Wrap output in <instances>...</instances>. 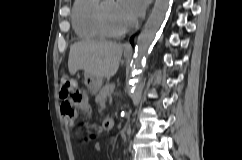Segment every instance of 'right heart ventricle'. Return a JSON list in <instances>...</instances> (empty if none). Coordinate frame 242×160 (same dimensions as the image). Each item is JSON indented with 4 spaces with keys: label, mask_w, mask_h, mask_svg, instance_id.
Instances as JSON below:
<instances>
[{
    "label": "right heart ventricle",
    "mask_w": 242,
    "mask_h": 160,
    "mask_svg": "<svg viewBox=\"0 0 242 160\" xmlns=\"http://www.w3.org/2000/svg\"><path fill=\"white\" fill-rule=\"evenodd\" d=\"M99 0H75L71 21L76 35L84 40L103 38L95 22V8Z\"/></svg>",
    "instance_id": "obj_1"
}]
</instances>
